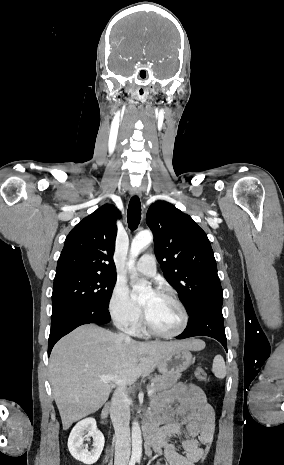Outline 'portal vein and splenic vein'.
Returning a JSON list of instances; mask_svg holds the SVG:
<instances>
[{"label":"portal vein and splenic vein","instance_id":"obj_1","mask_svg":"<svg viewBox=\"0 0 284 465\" xmlns=\"http://www.w3.org/2000/svg\"><path fill=\"white\" fill-rule=\"evenodd\" d=\"M99 379L102 381V383H115V385H120V387H126V385H124L122 381H119L115 375H99ZM153 393L154 391H148V397H151Z\"/></svg>","mask_w":284,"mask_h":465}]
</instances>
